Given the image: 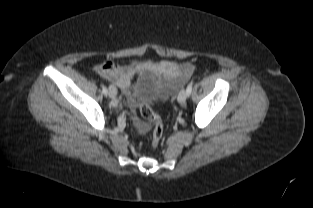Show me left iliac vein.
Returning a JSON list of instances; mask_svg holds the SVG:
<instances>
[{
    "label": "left iliac vein",
    "mask_w": 313,
    "mask_h": 208,
    "mask_svg": "<svg viewBox=\"0 0 313 208\" xmlns=\"http://www.w3.org/2000/svg\"><path fill=\"white\" fill-rule=\"evenodd\" d=\"M187 97H188L187 91L185 89H182L178 94L177 100L179 103L182 104L186 101Z\"/></svg>",
    "instance_id": "4c4485c4"
}]
</instances>
